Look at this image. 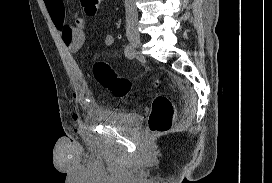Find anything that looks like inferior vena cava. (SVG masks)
<instances>
[{"label": "inferior vena cava", "instance_id": "inferior-vena-cava-1", "mask_svg": "<svg viewBox=\"0 0 272 183\" xmlns=\"http://www.w3.org/2000/svg\"><path fill=\"white\" fill-rule=\"evenodd\" d=\"M126 11V30L130 31L137 27L138 13L135 5V0H125Z\"/></svg>", "mask_w": 272, "mask_h": 183}]
</instances>
